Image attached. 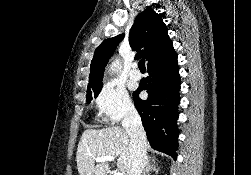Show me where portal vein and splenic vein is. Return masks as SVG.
<instances>
[{
    "mask_svg": "<svg viewBox=\"0 0 251 175\" xmlns=\"http://www.w3.org/2000/svg\"><path fill=\"white\" fill-rule=\"evenodd\" d=\"M95 161H114L115 157L113 155H102V157H94ZM113 175H123L121 171H115Z\"/></svg>",
    "mask_w": 251,
    "mask_h": 175,
    "instance_id": "1",
    "label": "portal vein and splenic vein"
}]
</instances>
